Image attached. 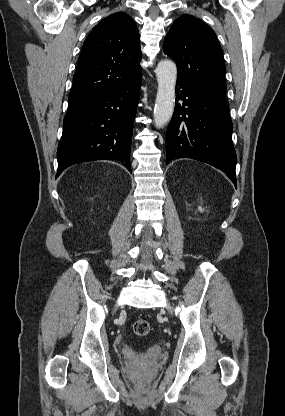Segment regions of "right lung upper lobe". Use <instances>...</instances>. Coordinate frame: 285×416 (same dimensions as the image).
Returning <instances> with one entry per match:
<instances>
[{
	"label": "right lung upper lobe",
	"mask_w": 285,
	"mask_h": 416,
	"mask_svg": "<svg viewBox=\"0 0 285 416\" xmlns=\"http://www.w3.org/2000/svg\"><path fill=\"white\" fill-rule=\"evenodd\" d=\"M140 60L135 22L124 12L109 15L83 44L68 106L99 98L138 78L142 75Z\"/></svg>",
	"instance_id": "obj_1"
}]
</instances>
